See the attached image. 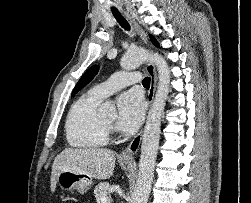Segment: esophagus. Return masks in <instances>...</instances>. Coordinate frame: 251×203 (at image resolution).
Returning a JSON list of instances; mask_svg holds the SVG:
<instances>
[{
	"label": "esophagus",
	"instance_id": "esophagus-1",
	"mask_svg": "<svg viewBox=\"0 0 251 203\" xmlns=\"http://www.w3.org/2000/svg\"><path fill=\"white\" fill-rule=\"evenodd\" d=\"M126 16L130 19L133 26L135 27L136 31L140 35L141 39L144 41L146 45H149L148 38L145 32L141 29L135 19L128 13L125 12ZM146 71L151 78V84L148 91V103L149 105L153 102L156 82H157V72L155 66L152 62H147L145 65ZM142 139V132H140L132 141L131 143L121 152L120 158L124 160H131L133 159L134 155L139 150L140 144Z\"/></svg>",
	"mask_w": 251,
	"mask_h": 203
}]
</instances>
